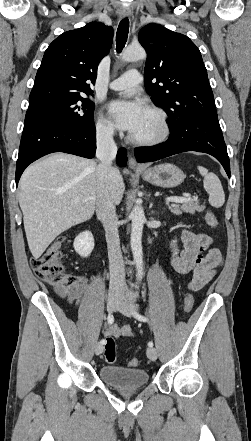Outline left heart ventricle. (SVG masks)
Here are the masks:
<instances>
[{"instance_id": "obj_1", "label": "left heart ventricle", "mask_w": 251, "mask_h": 441, "mask_svg": "<svg viewBox=\"0 0 251 441\" xmlns=\"http://www.w3.org/2000/svg\"><path fill=\"white\" fill-rule=\"evenodd\" d=\"M161 127L156 114L145 110L138 128L131 134L137 138H152L160 133Z\"/></svg>"}]
</instances>
